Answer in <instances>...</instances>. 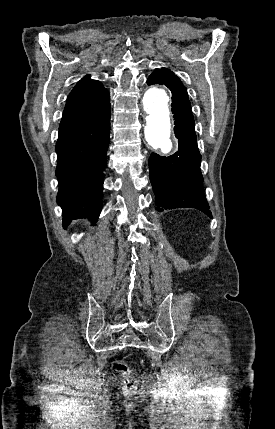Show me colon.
Masks as SVG:
<instances>
[{
	"instance_id": "colon-1",
	"label": "colon",
	"mask_w": 275,
	"mask_h": 429,
	"mask_svg": "<svg viewBox=\"0 0 275 429\" xmlns=\"http://www.w3.org/2000/svg\"><path fill=\"white\" fill-rule=\"evenodd\" d=\"M113 369L115 372H117L123 377V380H122L123 391L126 393H132L135 390V381L132 377L131 368L122 361H116L113 364Z\"/></svg>"
}]
</instances>
